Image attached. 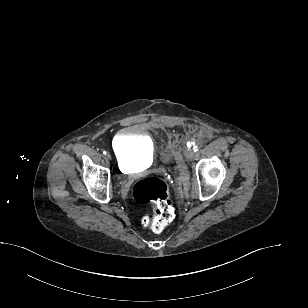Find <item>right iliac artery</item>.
Wrapping results in <instances>:
<instances>
[{"instance_id":"1","label":"right iliac artery","mask_w":308,"mask_h":308,"mask_svg":"<svg viewBox=\"0 0 308 308\" xmlns=\"http://www.w3.org/2000/svg\"><path fill=\"white\" fill-rule=\"evenodd\" d=\"M106 153H107L106 151H103V154H104V155H106Z\"/></svg>"}]
</instances>
